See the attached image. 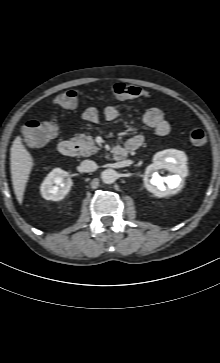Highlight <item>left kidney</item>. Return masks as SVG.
Returning <instances> with one entry per match:
<instances>
[{"label":"left kidney","instance_id":"5707ae66","mask_svg":"<svg viewBox=\"0 0 220 363\" xmlns=\"http://www.w3.org/2000/svg\"><path fill=\"white\" fill-rule=\"evenodd\" d=\"M159 169L168 170L174 175H169L163 180L157 172ZM187 174L185 154L175 149H166L154 155L153 163L146 167L143 180L148 191L157 197H165L180 190L181 181ZM164 181L168 187L164 185Z\"/></svg>","mask_w":220,"mask_h":363}]
</instances>
